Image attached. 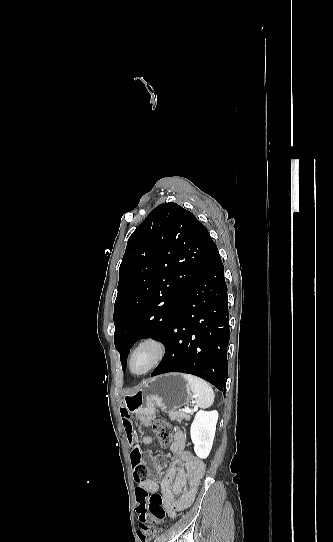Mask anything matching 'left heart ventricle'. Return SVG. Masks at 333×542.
Here are the masks:
<instances>
[{
  "mask_svg": "<svg viewBox=\"0 0 333 542\" xmlns=\"http://www.w3.org/2000/svg\"><path fill=\"white\" fill-rule=\"evenodd\" d=\"M150 360H151V352L150 351L145 350V351L141 352L137 356V358L135 359L134 369L136 371L143 370L149 364Z\"/></svg>",
  "mask_w": 333,
  "mask_h": 542,
  "instance_id": "1",
  "label": "left heart ventricle"
}]
</instances>
